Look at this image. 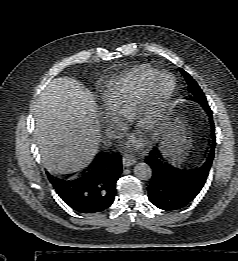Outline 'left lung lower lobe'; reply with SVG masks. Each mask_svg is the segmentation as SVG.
Listing matches in <instances>:
<instances>
[{
  "instance_id": "0a47b994",
  "label": "left lung lower lobe",
  "mask_w": 238,
  "mask_h": 261,
  "mask_svg": "<svg viewBox=\"0 0 238 261\" xmlns=\"http://www.w3.org/2000/svg\"><path fill=\"white\" fill-rule=\"evenodd\" d=\"M208 113L212 140L204 159L194 166L172 164L157 148L150 151L146 163L152 169L148 198L159 209L178 210L187 206L204 186L214 158L216 138L212 111L208 104H201Z\"/></svg>"
}]
</instances>
